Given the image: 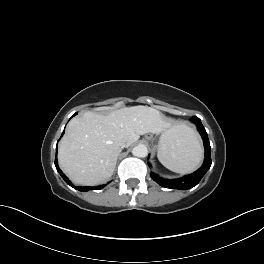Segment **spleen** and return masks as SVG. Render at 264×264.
<instances>
[{"label": "spleen", "mask_w": 264, "mask_h": 264, "mask_svg": "<svg viewBox=\"0 0 264 264\" xmlns=\"http://www.w3.org/2000/svg\"><path fill=\"white\" fill-rule=\"evenodd\" d=\"M157 156L169 170L186 174L197 168L203 149L196 132L185 125H179L168 141L159 148Z\"/></svg>", "instance_id": "spleen-1"}]
</instances>
